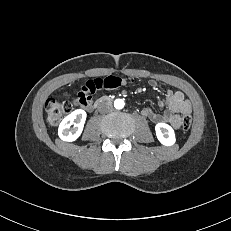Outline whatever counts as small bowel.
<instances>
[{
	"label": "small bowel",
	"instance_id": "c3829d8e",
	"mask_svg": "<svg viewBox=\"0 0 231 231\" xmlns=\"http://www.w3.org/2000/svg\"><path fill=\"white\" fill-rule=\"evenodd\" d=\"M127 79L124 76H105L101 78L87 80L77 92L76 104L86 110H90L92 107V94H96L99 91L117 90L126 86ZM152 87L156 86L154 80L150 81ZM160 107H167L163 114H156L151 108L147 107L143 109V116L149 118L154 123L167 122L174 128L181 126V115L190 114L192 107L190 102L185 98L181 91L169 90L166 93V98L163 101H159Z\"/></svg>",
	"mask_w": 231,
	"mask_h": 231
}]
</instances>
